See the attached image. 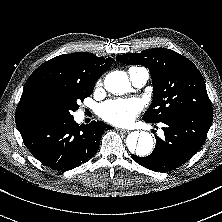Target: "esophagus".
<instances>
[{
    "instance_id": "34e87169",
    "label": "esophagus",
    "mask_w": 222,
    "mask_h": 222,
    "mask_svg": "<svg viewBox=\"0 0 222 222\" xmlns=\"http://www.w3.org/2000/svg\"><path fill=\"white\" fill-rule=\"evenodd\" d=\"M117 131L120 132V133H123V134H127V133L130 132L129 130L121 129V128H117Z\"/></svg>"
}]
</instances>
